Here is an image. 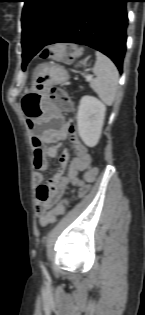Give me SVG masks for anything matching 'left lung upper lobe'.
I'll return each mask as SVG.
<instances>
[{
  "mask_svg": "<svg viewBox=\"0 0 145 315\" xmlns=\"http://www.w3.org/2000/svg\"><path fill=\"white\" fill-rule=\"evenodd\" d=\"M24 2L21 18L22 37L31 34L45 42L60 27L74 0H24ZM29 61L23 59V70Z\"/></svg>",
  "mask_w": 145,
  "mask_h": 315,
  "instance_id": "obj_1",
  "label": "left lung upper lobe"
}]
</instances>
